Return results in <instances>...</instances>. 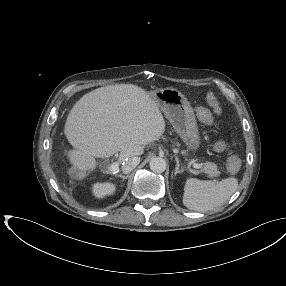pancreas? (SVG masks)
I'll use <instances>...</instances> for the list:
<instances>
[{"mask_svg": "<svg viewBox=\"0 0 286 286\" xmlns=\"http://www.w3.org/2000/svg\"><path fill=\"white\" fill-rule=\"evenodd\" d=\"M181 153L187 154L186 151H181ZM203 171L212 178L219 174V171L217 170V165L212 162L205 163L203 167Z\"/></svg>", "mask_w": 286, "mask_h": 286, "instance_id": "1", "label": "pancreas"}]
</instances>
